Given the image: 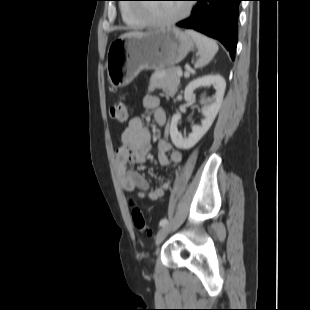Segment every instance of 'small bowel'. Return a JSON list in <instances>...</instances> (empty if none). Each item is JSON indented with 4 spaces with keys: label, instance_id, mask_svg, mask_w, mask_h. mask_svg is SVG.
Wrapping results in <instances>:
<instances>
[{
    "label": "small bowel",
    "instance_id": "1",
    "mask_svg": "<svg viewBox=\"0 0 310 310\" xmlns=\"http://www.w3.org/2000/svg\"><path fill=\"white\" fill-rule=\"evenodd\" d=\"M142 107L146 111H151L155 122L164 125L167 121L165 110L160 105V100L156 96L147 95L142 100ZM151 133L144 125L142 118L133 117L128 126L122 132L118 146L114 150L115 165L122 189L128 193H135L140 198L151 200L160 199L171 183L178 176V172L170 179L164 180L161 184L151 189L145 177L128 165H138L144 162L145 154L150 148ZM158 162L163 167L171 164L180 165L182 154L173 149L172 144L167 140L158 142Z\"/></svg>",
    "mask_w": 310,
    "mask_h": 310
}]
</instances>
